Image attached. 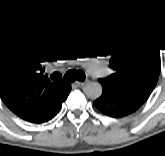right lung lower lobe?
<instances>
[{
	"label": "right lung lower lobe",
	"mask_w": 165,
	"mask_h": 156,
	"mask_svg": "<svg viewBox=\"0 0 165 156\" xmlns=\"http://www.w3.org/2000/svg\"><path fill=\"white\" fill-rule=\"evenodd\" d=\"M70 90H71V88L63 96V98L61 100H59L56 103V105L54 107H52L50 110H48L47 112H45V113H43V114H41L35 118L30 119L28 121L32 122V123H43V122H46V121L52 119L57 114V112L60 110V108L62 106V102H64L66 100L67 96L70 93Z\"/></svg>",
	"instance_id": "obj_1"
}]
</instances>
